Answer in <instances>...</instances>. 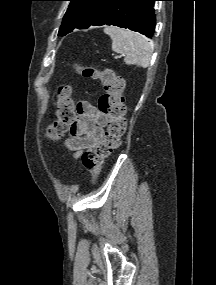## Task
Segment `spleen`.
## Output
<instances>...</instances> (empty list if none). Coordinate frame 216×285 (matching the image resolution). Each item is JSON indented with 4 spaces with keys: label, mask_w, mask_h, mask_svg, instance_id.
Listing matches in <instances>:
<instances>
[{
    "label": "spleen",
    "mask_w": 216,
    "mask_h": 285,
    "mask_svg": "<svg viewBox=\"0 0 216 285\" xmlns=\"http://www.w3.org/2000/svg\"><path fill=\"white\" fill-rule=\"evenodd\" d=\"M104 32L112 39V50L124 54L125 64L143 68L150 65L152 48L145 36L118 27H106Z\"/></svg>",
    "instance_id": "3e777b00"
}]
</instances>
